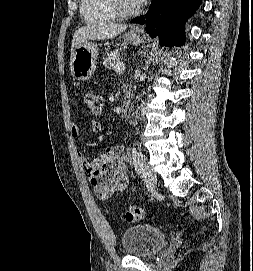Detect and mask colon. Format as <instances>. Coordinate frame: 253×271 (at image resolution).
<instances>
[{
  "label": "colon",
  "mask_w": 253,
  "mask_h": 271,
  "mask_svg": "<svg viewBox=\"0 0 253 271\" xmlns=\"http://www.w3.org/2000/svg\"><path fill=\"white\" fill-rule=\"evenodd\" d=\"M84 100L92 113L98 114L101 111L102 106H103V101H102V97L98 93L94 91H87L84 94ZM143 215H144V212L141 207L130 206L125 211L124 219L127 222H137L143 218Z\"/></svg>",
  "instance_id": "obj_1"
}]
</instances>
